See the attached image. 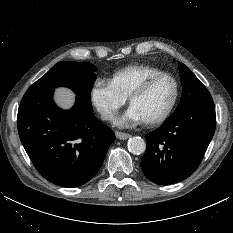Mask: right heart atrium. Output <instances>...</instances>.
<instances>
[{"mask_svg": "<svg viewBox=\"0 0 233 233\" xmlns=\"http://www.w3.org/2000/svg\"><path fill=\"white\" fill-rule=\"evenodd\" d=\"M90 99L100 116L106 121H114L126 98L107 79L98 78L90 90Z\"/></svg>", "mask_w": 233, "mask_h": 233, "instance_id": "right-heart-atrium-1", "label": "right heart atrium"}]
</instances>
